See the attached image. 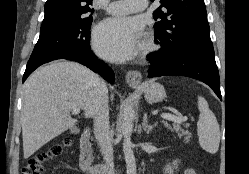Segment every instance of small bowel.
<instances>
[{
  "instance_id": "c3829d8e",
  "label": "small bowel",
  "mask_w": 249,
  "mask_h": 174,
  "mask_svg": "<svg viewBox=\"0 0 249 174\" xmlns=\"http://www.w3.org/2000/svg\"><path fill=\"white\" fill-rule=\"evenodd\" d=\"M184 174H196V172L192 168H187L185 169Z\"/></svg>"
}]
</instances>
